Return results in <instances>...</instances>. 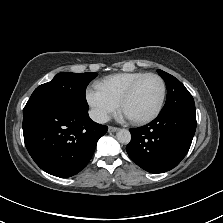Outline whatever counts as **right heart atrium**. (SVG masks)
Returning <instances> with one entry per match:
<instances>
[{
  "label": "right heart atrium",
  "instance_id": "right-heart-atrium-1",
  "mask_svg": "<svg viewBox=\"0 0 223 223\" xmlns=\"http://www.w3.org/2000/svg\"><path fill=\"white\" fill-rule=\"evenodd\" d=\"M92 117L98 122H105L119 109V101L113 99L99 84L94 83L87 95Z\"/></svg>",
  "mask_w": 223,
  "mask_h": 223
}]
</instances>
